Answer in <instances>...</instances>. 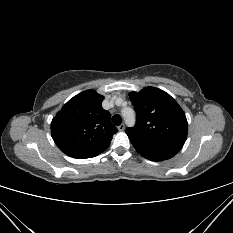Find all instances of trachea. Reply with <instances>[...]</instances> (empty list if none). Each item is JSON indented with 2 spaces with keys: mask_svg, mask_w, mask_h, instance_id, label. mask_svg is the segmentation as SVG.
I'll use <instances>...</instances> for the list:
<instances>
[{
  "mask_svg": "<svg viewBox=\"0 0 233 233\" xmlns=\"http://www.w3.org/2000/svg\"><path fill=\"white\" fill-rule=\"evenodd\" d=\"M112 122L116 125L119 126L122 122V118L120 115L116 114L112 117Z\"/></svg>",
  "mask_w": 233,
  "mask_h": 233,
  "instance_id": "1",
  "label": "trachea"
}]
</instances>
